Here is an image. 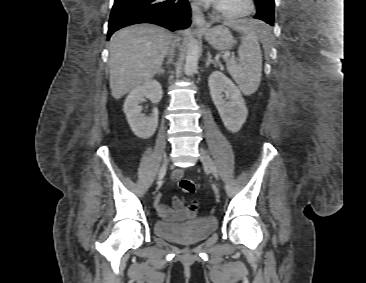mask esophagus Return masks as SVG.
<instances>
[{
	"instance_id": "1",
	"label": "esophagus",
	"mask_w": 366,
	"mask_h": 283,
	"mask_svg": "<svg viewBox=\"0 0 366 283\" xmlns=\"http://www.w3.org/2000/svg\"><path fill=\"white\" fill-rule=\"evenodd\" d=\"M190 4H191V9H192L194 24L197 26V28L199 30H207L209 25L206 22L201 9L193 1H191Z\"/></svg>"
}]
</instances>
